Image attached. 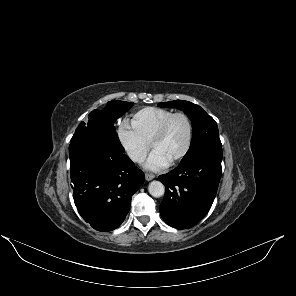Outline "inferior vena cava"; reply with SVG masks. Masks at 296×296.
<instances>
[{
	"instance_id": "602c4592",
	"label": "inferior vena cava",
	"mask_w": 296,
	"mask_h": 296,
	"mask_svg": "<svg viewBox=\"0 0 296 296\" xmlns=\"http://www.w3.org/2000/svg\"><path fill=\"white\" fill-rule=\"evenodd\" d=\"M129 157L138 163H142L145 161L146 155L142 152L132 151L129 153Z\"/></svg>"
}]
</instances>
